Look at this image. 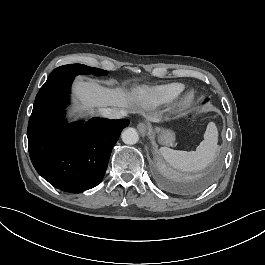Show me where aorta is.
<instances>
[{
  "instance_id": "aorta-1",
  "label": "aorta",
  "mask_w": 265,
  "mask_h": 265,
  "mask_svg": "<svg viewBox=\"0 0 265 265\" xmlns=\"http://www.w3.org/2000/svg\"><path fill=\"white\" fill-rule=\"evenodd\" d=\"M122 141L127 145H134L138 142L139 136L134 128H127L122 132Z\"/></svg>"
}]
</instances>
